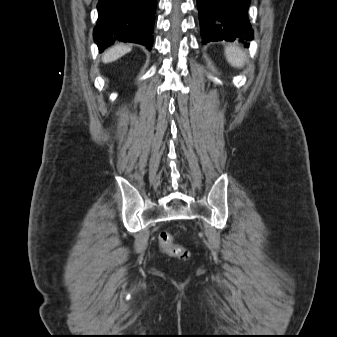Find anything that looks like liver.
Instances as JSON below:
<instances>
[{"mask_svg": "<svg viewBox=\"0 0 337 337\" xmlns=\"http://www.w3.org/2000/svg\"><path fill=\"white\" fill-rule=\"evenodd\" d=\"M131 51V47L124 45V44H116L109 48L102 57V61L104 63H110L113 62L123 55L129 53Z\"/></svg>", "mask_w": 337, "mask_h": 337, "instance_id": "obj_1", "label": "liver"}]
</instances>
